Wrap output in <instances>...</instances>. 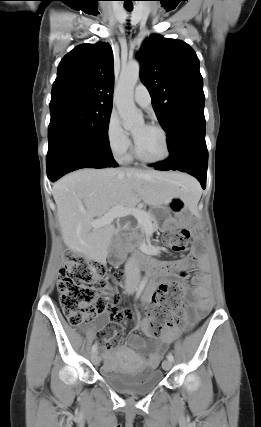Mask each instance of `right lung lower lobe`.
I'll return each instance as SVG.
<instances>
[{
	"mask_svg": "<svg viewBox=\"0 0 261 427\" xmlns=\"http://www.w3.org/2000/svg\"><path fill=\"white\" fill-rule=\"evenodd\" d=\"M47 176L56 181L81 168L116 167L110 148H97L75 143H58L48 148Z\"/></svg>",
	"mask_w": 261,
	"mask_h": 427,
	"instance_id": "1",
	"label": "right lung lower lobe"
}]
</instances>
